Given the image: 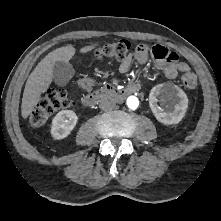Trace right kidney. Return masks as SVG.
Returning <instances> with one entry per match:
<instances>
[{"label":"right kidney","mask_w":221,"mask_h":221,"mask_svg":"<svg viewBox=\"0 0 221 221\" xmlns=\"http://www.w3.org/2000/svg\"><path fill=\"white\" fill-rule=\"evenodd\" d=\"M78 117L72 110H62L52 120L51 135L54 139H64L74 129Z\"/></svg>","instance_id":"obj_1"}]
</instances>
